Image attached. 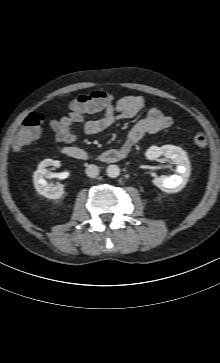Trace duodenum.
<instances>
[{
    "instance_id": "1",
    "label": "duodenum",
    "mask_w": 220,
    "mask_h": 363,
    "mask_svg": "<svg viewBox=\"0 0 220 363\" xmlns=\"http://www.w3.org/2000/svg\"><path fill=\"white\" fill-rule=\"evenodd\" d=\"M129 151L130 150L124 146L120 149L106 150L97 156V160L107 164L116 163L125 159L128 156ZM62 153L67 157L79 161H88L91 159V155L86 150L81 148L65 147L63 148Z\"/></svg>"
}]
</instances>
